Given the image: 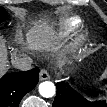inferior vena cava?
Segmentation results:
<instances>
[{
	"label": "inferior vena cava",
	"instance_id": "602c4592",
	"mask_svg": "<svg viewBox=\"0 0 107 107\" xmlns=\"http://www.w3.org/2000/svg\"><path fill=\"white\" fill-rule=\"evenodd\" d=\"M13 64L17 69L21 71H27L32 68V59L29 57H22V58L15 57L13 59Z\"/></svg>",
	"mask_w": 107,
	"mask_h": 107
}]
</instances>
